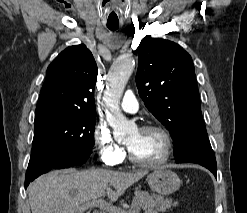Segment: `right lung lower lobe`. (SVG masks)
<instances>
[{
	"label": "right lung lower lobe",
	"instance_id": "obj_1",
	"mask_svg": "<svg viewBox=\"0 0 247 213\" xmlns=\"http://www.w3.org/2000/svg\"><path fill=\"white\" fill-rule=\"evenodd\" d=\"M90 153L91 152H87L77 156H69L64 153H60L57 150H52L44 157L30 161L26 172L25 188H27L29 183L39 175L46 173L53 168H68L70 166L79 165L86 162Z\"/></svg>",
	"mask_w": 247,
	"mask_h": 213
}]
</instances>
